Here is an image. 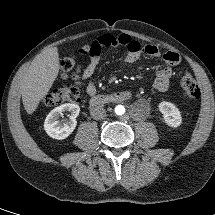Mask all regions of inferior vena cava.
Returning <instances> with one entry per match:
<instances>
[{"mask_svg":"<svg viewBox=\"0 0 215 215\" xmlns=\"http://www.w3.org/2000/svg\"><path fill=\"white\" fill-rule=\"evenodd\" d=\"M90 115L95 120H101L106 117V110L102 106L97 105L91 108Z\"/></svg>","mask_w":215,"mask_h":215,"instance_id":"602c4592","label":"inferior vena cava"}]
</instances>
